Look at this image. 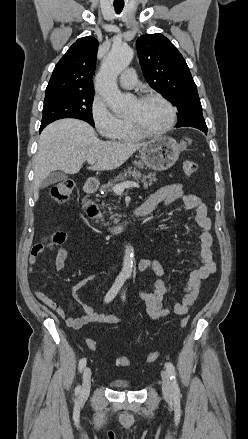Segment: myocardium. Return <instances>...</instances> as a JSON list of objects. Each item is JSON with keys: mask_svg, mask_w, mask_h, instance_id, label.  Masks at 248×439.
Instances as JSON below:
<instances>
[{"mask_svg": "<svg viewBox=\"0 0 248 439\" xmlns=\"http://www.w3.org/2000/svg\"><path fill=\"white\" fill-rule=\"evenodd\" d=\"M150 99H158L160 101H162L169 109L170 111V120L169 123L166 125V127L160 129V130H156V131H150V130H146L144 129L137 120L133 119V118H127V121L129 122L132 130L137 133L138 135H140L141 137H150V136H159V135H163L168 133L176 124V120H177V110L175 108V106L171 103L170 100H168L166 97H164L163 95L159 94V93H155V92H151V93H146L143 95H140L137 100L139 102H144Z\"/></svg>", "mask_w": 248, "mask_h": 439, "instance_id": "obj_1", "label": "myocardium"}]
</instances>
